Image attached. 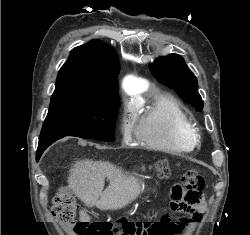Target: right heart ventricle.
I'll return each instance as SVG.
<instances>
[{"instance_id":"right-heart-ventricle-1","label":"right heart ventricle","mask_w":250,"mask_h":235,"mask_svg":"<svg viewBox=\"0 0 250 235\" xmlns=\"http://www.w3.org/2000/svg\"><path fill=\"white\" fill-rule=\"evenodd\" d=\"M136 141L142 146L168 154L193 150L191 118L180 102L169 94H158L146 105L136 107Z\"/></svg>"}]
</instances>
